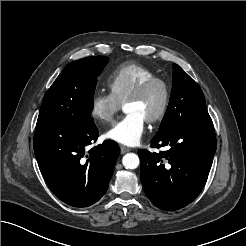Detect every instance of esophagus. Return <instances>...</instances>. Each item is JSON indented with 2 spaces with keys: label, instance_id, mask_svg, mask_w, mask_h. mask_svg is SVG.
<instances>
[{
  "label": "esophagus",
  "instance_id": "34e87169",
  "mask_svg": "<svg viewBox=\"0 0 246 246\" xmlns=\"http://www.w3.org/2000/svg\"><path fill=\"white\" fill-rule=\"evenodd\" d=\"M130 150H131L130 148L125 147V146L120 147L121 154H125V153L129 152Z\"/></svg>",
  "mask_w": 246,
  "mask_h": 246
}]
</instances>
